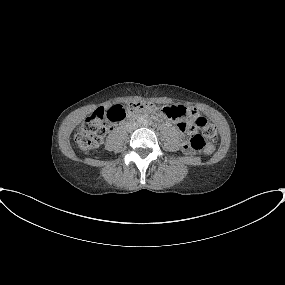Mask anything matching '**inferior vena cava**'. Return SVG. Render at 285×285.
<instances>
[{
    "label": "inferior vena cava",
    "instance_id": "inferior-vena-cava-1",
    "mask_svg": "<svg viewBox=\"0 0 285 285\" xmlns=\"http://www.w3.org/2000/svg\"><path fill=\"white\" fill-rule=\"evenodd\" d=\"M138 128V124L137 123H130L127 125V130L128 131H132L134 129Z\"/></svg>",
    "mask_w": 285,
    "mask_h": 285
}]
</instances>
